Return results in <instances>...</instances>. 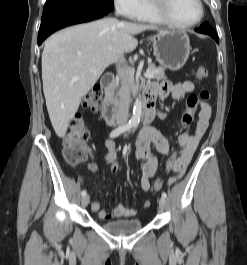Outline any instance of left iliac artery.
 <instances>
[{
    "label": "left iliac artery",
    "instance_id": "44dca946",
    "mask_svg": "<svg viewBox=\"0 0 247 265\" xmlns=\"http://www.w3.org/2000/svg\"><path fill=\"white\" fill-rule=\"evenodd\" d=\"M162 197L163 198H166L167 197V194L165 192H162Z\"/></svg>",
    "mask_w": 247,
    "mask_h": 265
}]
</instances>
